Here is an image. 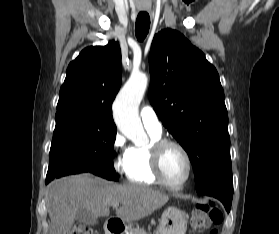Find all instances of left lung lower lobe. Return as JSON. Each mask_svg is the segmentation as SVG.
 Returning <instances> with one entry per match:
<instances>
[{
    "instance_id": "obj_1",
    "label": "left lung lower lobe",
    "mask_w": 279,
    "mask_h": 234,
    "mask_svg": "<svg viewBox=\"0 0 279 234\" xmlns=\"http://www.w3.org/2000/svg\"><path fill=\"white\" fill-rule=\"evenodd\" d=\"M203 194L219 199L227 207L228 212L230 211L233 197V185L230 187L214 186L205 190Z\"/></svg>"
}]
</instances>
